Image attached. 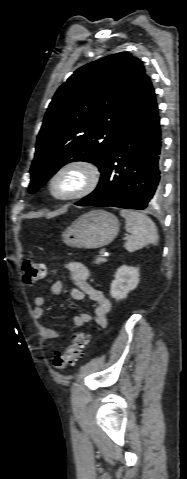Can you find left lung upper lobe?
Masks as SVG:
<instances>
[{"instance_id":"5c2ea615","label":"left lung upper lobe","mask_w":187,"mask_h":479,"mask_svg":"<svg viewBox=\"0 0 187 479\" xmlns=\"http://www.w3.org/2000/svg\"><path fill=\"white\" fill-rule=\"evenodd\" d=\"M145 76L138 58L120 52L79 68L60 86L37 138L31 193L68 162H91L103 168Z\"/></svg>"}]
</instances>
